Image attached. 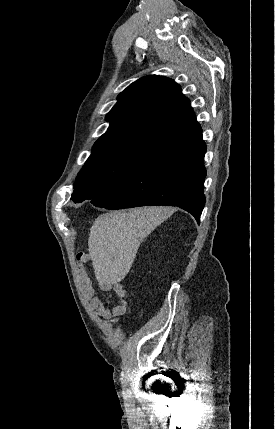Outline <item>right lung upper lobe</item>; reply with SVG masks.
Here are the masks:
<instances>
[{
	"instance_id": "1",
	"label": "right lung upper lobe",
	"mask_w": 275,
	"mask_h": 429,
	"mask_svg": "<svg viewBox=\"0 0 275 429\" xmlns=\"http://www.w3.org/2000/svg\"><path fill=\"white\" fill-rule=\"evenodd\" d=\"M106 120L110 126L92 154L119 148L151 157L202 131L180 86L156 75L143 77L120 93Z\"/></svg>"
}]
</instances>
